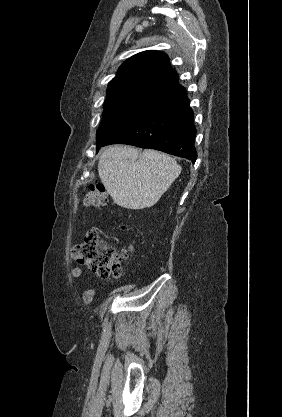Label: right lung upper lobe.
<instances>
[{"mask_svg":"<svg viewBox=\"0 0 282 417\" xmlns=\"http://www.w3.org/2000/svg\"><path fill=\"white\" fill-rule=\"evenodd\" d=\"M178 83L168 56L159 51H144L126 60L109 83L107 94L141 91L160 94Z\"/></svg>","mask_w":282,"mask_h":417,"instance_id":"cb5924a9","label":"right lung upper lobe"}]
</instances>
